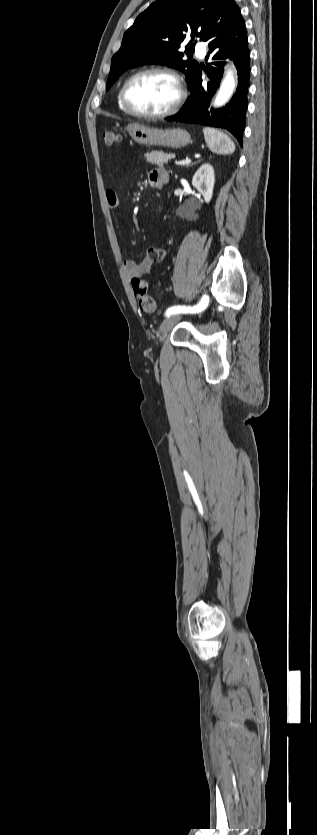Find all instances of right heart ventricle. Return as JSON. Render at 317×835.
<instances>
[{
    "instance_id": "right-heart-ventricle-1",
    "label": "right heart ventricle",
    "mask_w": 317,
    "mask_h": 835,
    "mask_svg": "<svg viewBox=\"0 0 317 835\" xmlns=\"http://www.w3.org/2000/svg\"><path fill=\"white\" fill-rule=\"evenodd\" d=\"M120 93H121V89L119 90L118 95H117V103H118V107H119V109H120L122 112H124V113H129V112L126 110V108L124 107V105H123V103H122V101H121V96H120Z\"/></svg>"
}]
</instances>
